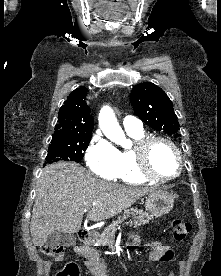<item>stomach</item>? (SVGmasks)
Segmentation results:
<instances>
[{"label":"stomach","instance_id":"1","mask_svg":"<svg viewBox=\"0 0 221 276\" xmlns=\"http://www.w3.org/2000/svg\"><path fill=\"white\" fill-rule=\"evenodd\" d=\"M174 205V197L166 191H153L149 193L145 201V209L155 215L169 213Z\"/></svg>","mask_w":221,"mask_h":276}]
</instances>
